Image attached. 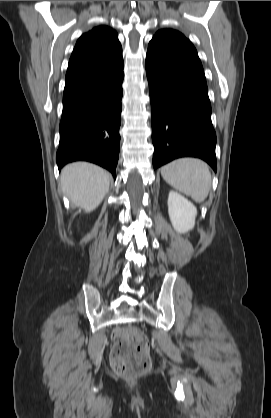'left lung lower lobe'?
<instances>
[{
  "instance_id": "1",
  "label": "left lung lower lobe",
  "mask_w": 271,
  "mask_h": 418,
  "mask_svg": "<svg viewBox=\"0 0 271 418\" xmlns=\"http://www.w3.org/2000/svg\"><path fill=\"white\" fill-rule=\"evenodd\" d=\"M154 169L185 156L205 160L216 172V134L202 64L152 39L146 55Z\"/></svg>"
}]
</instances>
